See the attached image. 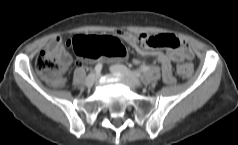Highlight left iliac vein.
Here are the masks:
<instances>
[{"label": "left iliac vein", "instance_id": "obj_1", "mask_svg": "<svg viewBox=\"0 0 238 145\" xmlns=\"http://www.w3.org/2000/svg\"><path fill=\"white\" fill-rule=\"evenodd\" d=\"M110 71L115 75H121L125 83L131 89H137L142 86V82L125 66L115 64L110 67Z\"/></svg>", "mask_w": 238, "mask_h": 145}]
</instances>
